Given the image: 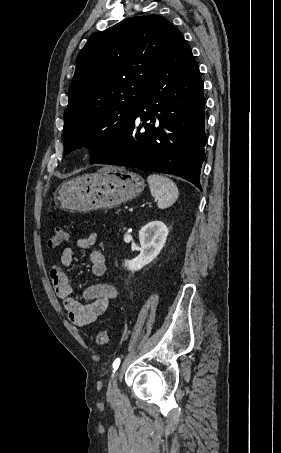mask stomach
Segmentation results:
<instances>
[{"label":"stomach","mask_w":281,"mask_h":453,"mask_svg":"<svg viewBox=\"0 0 281 453\" xmlns=\"http://www.w3.org/2000/svg\"><path fill=\"white\" fill-rule=\"evenodd\" d=\"M144 180L121 166H105L98 172L82 174L62 182L55 194L60 208L71 212H91L113 208L132 200L144 190Z\"/></svg>","instance_id":"0dacf381"}]
</instances>
